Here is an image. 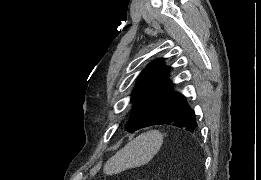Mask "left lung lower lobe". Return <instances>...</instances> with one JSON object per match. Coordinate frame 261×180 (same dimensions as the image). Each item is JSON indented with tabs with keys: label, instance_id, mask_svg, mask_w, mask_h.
Returning a JSON list of instances; mask_svg holds the SVG:
<instances>
[{
	"label": "left lung lower lobe",
	"instance_id": "1",
	"mask_svg": "<svg viewBox=\"0 0 261 180\" xmlns=\"http://www.w3.org/2000/svg\"><path fill=\"white\" fill-rule=\"evenodd\" d=\"M194 111L188 106L183 95H178L172 104L153 122L152 125H172L193 131L197 124Z\"/></svg>",
	"mask_w": 261,
	"mask_h": 180
}]
</instances>
